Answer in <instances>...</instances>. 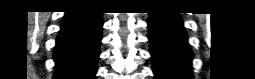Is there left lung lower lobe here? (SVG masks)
Wrapping results in <instances>:
<instances>
[{"instance_id": "0a47b994", "label": "left lung lower lobe", "mask_w": 255, "mask_h": 79, "mask_svg": "<svg viewBox=\"0 0 255 79\" xmlns=\"http://www.w3.org/2000/svg\"><path fill=\"white\" fill-rule=\"evenodd\" d=\"M148 27L155 79H191L192 53L177 13L152 12Z\"/></svg>"}]
</instances>
